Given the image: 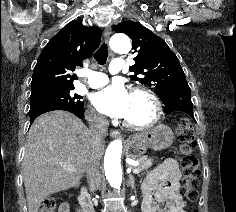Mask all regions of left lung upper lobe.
Segmentation results:
<instances>
[{
	"instance_id": "5c2ea615",
	"label": "left lung upper lobe",
	"mask_w": 236,
	"mask_h": 212,
	"mask_svg": "<svg viewBox=\"0 0 236 212\" xmlns=\"http://www.w3.org/2000/svg\"><path fill=\"white\" fill-rule=\"evenodd\" d=\"M115 32L125 33L132 39L136 54L135 65L130 68L135 72L130 76L133 80L151 87L162 101L170 92L188 86L177 56L152 31L140 23L126 21L117 25Z\"/></svg>"
}]
</instances>
